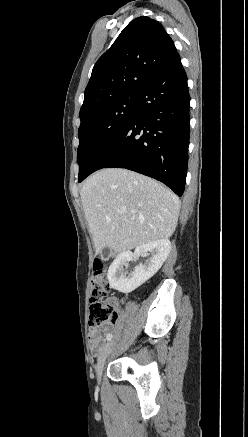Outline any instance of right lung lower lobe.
Listing matches in <instances>:
<instances>
[{"label": "right lung lower lobe", "instance_id": "1", "mask_svg": "<svg viewBox=\"0 0 248 437\" xmlns=\"http://www.w3.org/2000/svg\"><path fill=\"white\" fill-rule=\"evenodd\" d=\"M190 97L179 55L136 95L133 114L94 159L101 168H126L155 178L178 196L185 189Z\"/></svg>", "mask_w": 248, "mask_h": 437}]
</instances>
